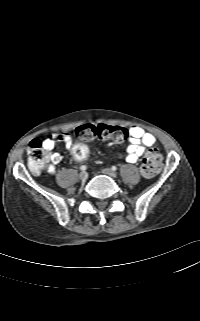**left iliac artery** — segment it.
<instances>
[{
  "instance_id": "obj_1",
  "label": "left iliac artery",
  "mask_w": 200,
  "mask_h": 321,
  "mask_svg": "<svg viewBox=\"0 0 200 321\" xmlns=\"http://www.w3.org/2000/svg\"><path fill=\"white\" fill-rule=\"evenodd\" d=\"M112 170H113V171H116V170H117V167H116V166H112Z\"/></svg>"
}]
</instances>
